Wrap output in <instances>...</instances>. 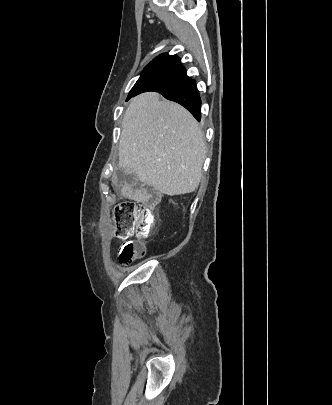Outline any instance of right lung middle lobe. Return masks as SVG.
Here are the masks:
<instances>
[{
	"label": "right lung middle lobe",
	"mask_w": 332,
	"mask_h": 405,
	"mask_svg": "<svg viewBox=\"0 0 332 405\" xmlns=\"http://www.w3.org/2000/svg\"><path fill=\"white\" fill-rule=\"evenodd\" d=\"M186 81L183 77L172 76L158 72H143L132 88L139 93L146 91H161L174 87Z\"/></svg>",
	"instance_id": "1"
}]
</instances>
